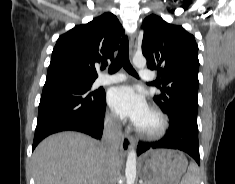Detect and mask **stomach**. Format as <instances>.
<instances>
[{
	"instance_id": "obj_1",
	"label": "stomach",
	"mask_w": 235,
	"mask_h": 184,
	"mask_svg": "<svg viewBox=\"0 0 235 184\" xmlns=\"http://www.w3.org/2000/svg\"><path fill=\"white\" fill-rule=\"evenodd\" d=\"M187 166L186 156L178 150H151L140 158L145 184H179Z\"/></svg>"
}]
</instances>
